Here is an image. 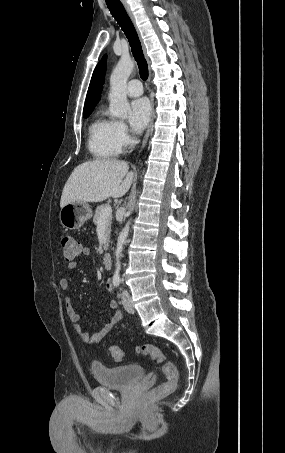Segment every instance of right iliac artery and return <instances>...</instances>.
<instances>
[{
  "label": "right iliac artery",
  "instance_id": "82829eb1",
  "mask_svg": "<svg viewBox=\"0 0 285 453\" xmlns=\"http://www.w3.org/2000/svg\"><path fill=\"white\" fill-rule=\"evenodd\" d=\"M121 282L120 275L118 273H115L113 276V285L115 287H118Z\"/></svg>",
  "mask_w": 285,
  "mask_h": 453
}]
</instances>
